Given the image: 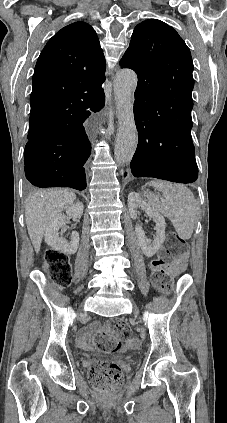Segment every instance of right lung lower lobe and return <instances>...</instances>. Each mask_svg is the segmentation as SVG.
Segmentation results:
<instances>
[{
  "instance_id": "right-lung-lower-lobe-1",
  "label": "right lung lower lobe",
  "mask_w": 227,
  "mask_h": 423,
  "mask_svg": "<svg viewBox=\"0 0 227 423\" xmlns=\"http://www.w3.org/2000/svg\"><path fill=\"white\" fill-rule=\"evenodd\" d=\"M104 101L85 98L69 103L31 104L30 121L60 119L66 128L38 141H28L24 150L26 177L40 188H86L85 167L91 146L85 128L89 116L99 111Z\"/></svg>"
}]
</instances>
